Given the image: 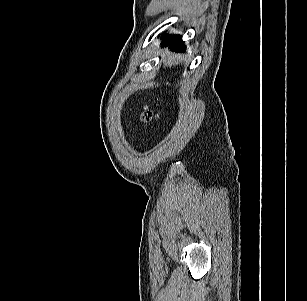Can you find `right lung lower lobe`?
I'll return each mask as SVG.
<instances>
[{
  "instance_id": "98d812e1",
  "label": "right lung lower lobe",
  "mask_w": 307,
  "mask_h": 301,
  "mask_svg": "<svg viewBox=\"0 0 307 301\" xmlns=\"http://www.w3.org/2000/svg\"><path fill=\"white\" fill-rule=\"evenodd\" d=\"M162 45H169L173 50L177 51H185L186 49L180 36L167 37Z\"/></svg>"
}]
</instances>
